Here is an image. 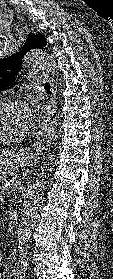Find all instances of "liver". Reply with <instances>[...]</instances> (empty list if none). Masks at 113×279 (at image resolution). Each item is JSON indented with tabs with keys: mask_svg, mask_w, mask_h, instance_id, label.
Here are the masks:
<instances>
[{
	"mask_svg": "<svg viewBox=\"0 0 113 279\" xmlns=\"http://www.w3.org/2000/svg\"><path fill=\"white\" fill-rule=\"evenodd\" d=\"M15 155V152L14 150H9V149H4V150H1L0 152V157L1 158H7V157H13Z\"/></svg>",
	"mask_w": 113,
	"mask_h": 279,
	"instance_id": "obj_1",
	"label": "liver"
}]
</instances>
